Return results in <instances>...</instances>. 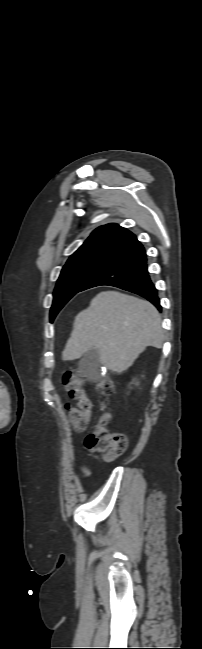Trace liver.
Segmentation results:
<instances>
[{
  "instance_id": "liver-1",
  "label": "liver",
  "mask_w": 202,
  "mask_h": 649,
  "mask_svg": "<svg viewBox=\"0 0 202 649\" xmlns=\"http://www.w3.org/2000/svg\"><path fill=\"white\" fill-rule=\"evenodd\" d=\"M163 338L160 314L150 302L105 291L76 315L62 359H79L94 348L107 369L121 373L146 347L161 348Z\"/></svg>"
}]
</instances>
